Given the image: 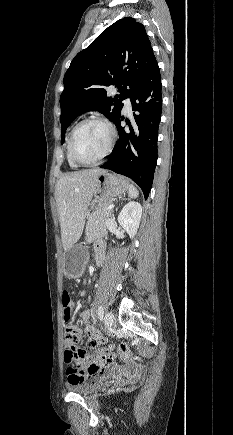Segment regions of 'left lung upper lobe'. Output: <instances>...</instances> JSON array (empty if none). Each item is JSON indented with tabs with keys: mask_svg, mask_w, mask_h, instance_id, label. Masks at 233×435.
I'll return each mask as SVG.
<instances>
[{
	"mask_svg": "<svg viewBox=\"0 0 233 435\" xmlns=\"http://www.w3.org/2000/svg\"><path fill=\"white\" fill-rule=\"evenodd\" d=\"M157 64L144 25L124 17L106 28L72 60L60 96L62 142L68 126L80 114L99 111L115 122L122 100L131 97ZM115 85L114 99L106 96Z\"/></svg>",
	"mask_w": 233,
	"mask_h": 435,
	"instance_id": "left-lung-upper-lobe-1",
	"label": "left lung upper lobe"
}]
</instances>
